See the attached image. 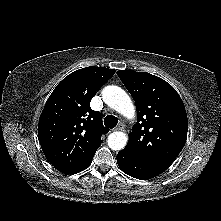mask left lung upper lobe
Returning <instances> with one entry per match:
<instances>
[{
	"label": "left lung upper lobe",
	"instance_id": "obj_1",
	"mask_svg": "<svg viewBox=\"0 0 221 221\" xmlns=\"http://www.w3.org/2000/svg\"><path fill=\"white\" fill-rule=\"evenodd\" d=\"M117 75L135 100L137 124L125 150L167 169L187 139L188 120L176 90L146 72L118 71Z\"/></svg>",
	"mask_w": 221,
	"mask_h": 221
}]
</instances>
